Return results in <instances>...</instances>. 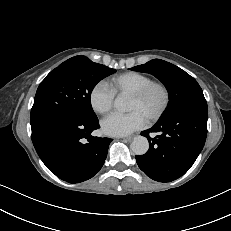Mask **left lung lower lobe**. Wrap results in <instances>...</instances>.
<instances>
[{
    "label": "left lung lower lobe",
    "instance_id": "1",
    "mask_svg": "<svg viewBox=\"0 0 231 231\" xmlns=\"http://www.w3.org/2000/svg\"><path fill=\"white\" fill-rule=\"evenodd\" d=\"M208 109L206 100L190 102L160 119L141 134L149 140V150L136 155L139 168L151 179L170 182L184 175L205 144ZM150 132H158L154 138Z\"/></svg>",
    "mask_w": 231,
    "mask_h": 231
}]
</instances>
